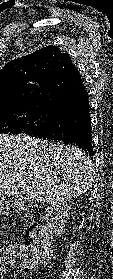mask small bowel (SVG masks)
I'll return each mask as SVG.
<instances>
[{"label": "small bowel", "mask_w": 113, "mask_h": 279, "mask_svg": "<svg viewBox=\"0 0 113 279\" xmlns=\"http://www.w3.org/2000/svg\"><path fill=\"white\" fill-rule=\"evenodd\" d=\"M12 266V265H11ZM1 275H2V273H1ZM0 275V279H2L3 277Z\"/></svg>", "instance_id": "c3829d8e"}]
</instances>
